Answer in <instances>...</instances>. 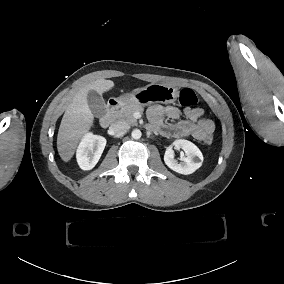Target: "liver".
Listing matches in <instances>:
<instances>
[{
	"label": "liver",
	"instance_id": "obj_1",
	"mask_svg": "<svg viewBox=\"0 0 284 284\" xmlns=\"http://www.w3.org/2000/svg\"><path fill=\"white\" fill-rule=\"evenodd\" d=\"M114 82L100 78L82 85L72 97L61 120L57 136V149L63 161L68 162L74 155L79 140L93 124V114L89 108L87 96L90 90L102 95L110 90ZM138 90V89H136Z\"/></svg>",
	"mask_w": 284,
	"mask_h": 284
}]
</instances>
